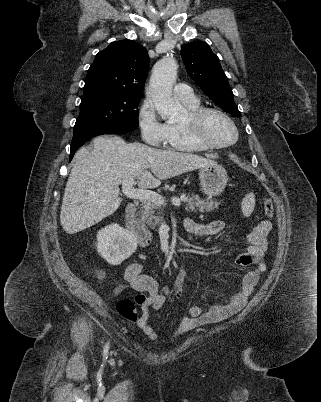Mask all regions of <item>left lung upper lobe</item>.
<instances>
[{
    "label": "left lung upper lobe",
    "instance_id": "obj_1",
    "mask_svg": "<svg viewBox=\"0 0 321 402\" xmlns=\"http://www.w3.org/2000/svg\"><path fill=\"white\" fill-rule=\"evenodd\" d=\"M181 56L188 74L201 90L225 111L241 116L219 58L209 45L201 41L189 43L181 49Z\"/></svg>",
    "mask_w": 321,
    "mask_h": 402
}]
</instances>
